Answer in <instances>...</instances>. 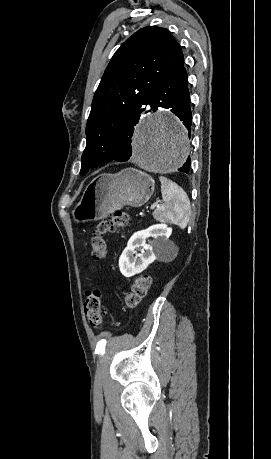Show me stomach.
I'll return each mask as SVG.
<instances>
[{
  "label": "stomach",
  "mask_w": 271,
  "mask_h": 459,
  "mask_svg": "<svg viewBox=\"0 0 271 459\" xmlns=\"http://www.w3.org/2000/svg\"><path fill=\"white\" fill-rule=\"evenodd\" d=\"M154 180L145 172L126 168L119 174H100L87 186L72 216L77 224L102 220L123 206L139 208L153 196Z\"/></svg>",
  "instance_id": "stomach-1"
}]
</instances>
